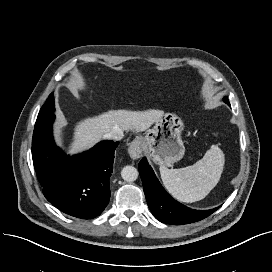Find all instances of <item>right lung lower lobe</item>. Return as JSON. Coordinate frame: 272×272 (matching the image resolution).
<instances>
[{
    "instance_id": "1",
    "label": "right lung lower lobe",
    "mask_w": 272,
    "mask_h": 272,
    "mask_svg": "<svg viewBox=\"0 0 272 272\" xmlns=\"http://www.w3.org/2000/svg\"><path fill=\"white\" fill-rule=\"evenodd\" d=\"M55 114L38 117L32 138V158L46 199L62 212L81 219L99 216L110 199L118 142L102 141L89 151L68 156L55 145Z\"/></svg>"
}]
</instances>
